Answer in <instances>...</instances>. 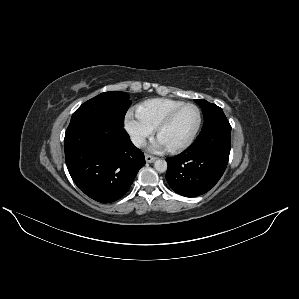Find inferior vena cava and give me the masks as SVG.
Instances as JSON below:
<instances>
[{"instance_id":"obj_1","label":"inferior vena cava","mask_w":299,"mask_h":299,"mask_svg":"<svg viewBox=\"0 0 299 299\" xmlns=\"http://www.w3.org/2000/svg\"><path fill=\"white\" fill-rule=\"evenodd\" d=\"M131 141L136 147H141L146 143L145 138L141 136H132Z\"/></svg>"}]
</instances>
